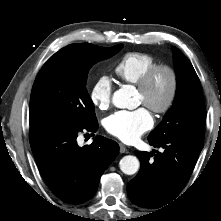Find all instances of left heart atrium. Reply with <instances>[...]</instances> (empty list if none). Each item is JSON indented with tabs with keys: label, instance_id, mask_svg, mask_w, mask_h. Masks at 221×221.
<instances>
[{
	"label": "left heart atrium",
	"instance_id": "obj_1",
	"mask_svg": "<svg viewBox=\"0 0 221 221\" xmlns=\"http://www.w3.org/2000/svg\"><path fill=\"white\" fill-rule=\"evenodd\" d=\"M104 124L110 134L131 143L152 127L153 118L146 108L140 107L135 110L117 111L108 116Z\"/></svg>",
	"mask_w": 221,
	"mask_h": 221
}]
</instances>
